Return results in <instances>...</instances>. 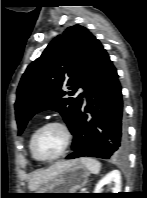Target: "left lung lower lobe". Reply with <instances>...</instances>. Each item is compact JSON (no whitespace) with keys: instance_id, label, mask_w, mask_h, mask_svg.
Returning a JSON list of instances; mask_svg holds the SVG:
<instances>
[{"instance_id":"0a47b994","label":"left lung lower lobe","mask_w":147,"mask_h":198,"mask_svg":"<svg viewBox=\"0 0 147 198\" xmlns=\"http://www.w3.org/2000/svg\"><path fill=\"white\" fill-rule=\"evenodd\" d=\"M84 93L87 105L81 106L72 131L73 151L66 159L123 157L127 152V131L121 85L116 68L97 39Z\"/></svg>"}]
</instances>
